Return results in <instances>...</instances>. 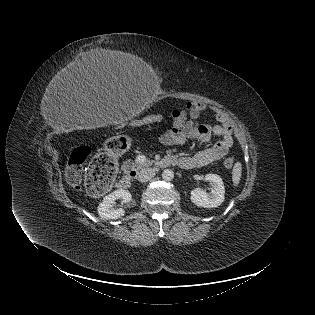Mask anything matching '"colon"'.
Instances as JSON below:
<instances>
[{
	"instance_id": "colon-1",
	"label": "colon",
	"mask_w": 315,
	"mask_h": 315,
	"mask_svg": "<svg viewBox=\"0 0 315 315\" xmlns=\"http://www.w3.org/2000/svg\"><path fill=\"white\" fill-rule=\"evenodd\" d=\"M159 116H150L137 123V125H148L159 121ZM91 154L87 146L76 147L68 160L65 176L68 183L74 188H80L82 183L84 163ZM234 159L227 158L224 161L226 168L234 166ZM115 160L106 154L96 156L90 163L84 178L87 191L93 195H103L111 187L116 176Z\"/></svg>"
}]
</instances>
